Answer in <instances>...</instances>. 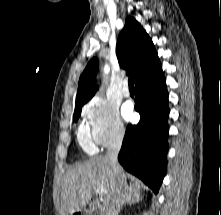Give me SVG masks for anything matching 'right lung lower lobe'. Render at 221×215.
<instances>
[{
	"label": "right lung lower lobe",
	"mask_w": 221,
	"mask_h": 215,
	"mask_svg": "<svg viewBox=\"0 0 221 215\" xmlns=\"http://www.w3.org/2000/svg\"><path fill=\"white\" fill-rule=\"evenodd\" d=\"M137 125L127 126L120 164L157 193L166 172L168 93L162 70L136 85Z\"/></svg>",
	"instance_id": "98d812e1"
}]
</instances>
